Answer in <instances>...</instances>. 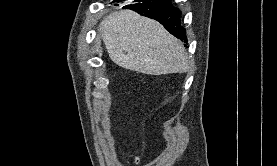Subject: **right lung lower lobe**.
Returning <instances> with one entry per match:
<instances>
[{"label":"right lung lower lobe","instance_id":"obj_1","mask_svg":"<svg viewBox=\"0 0 277 166\" xmlns=\"http://www.w3.org/2000/svg\"><path fill=\"white\" fill-rule=\"evenodd\" d=\"M133 2L124 8L159 21L176 38L187 42L185 29L180 23V11L170 5V0H134Z\"/></svg>","mask_w":277,"mask_h":166}]
</instances>
